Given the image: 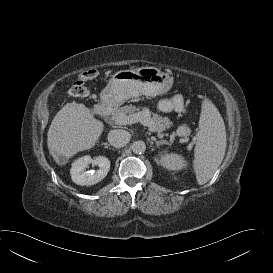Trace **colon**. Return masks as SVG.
Segmentation results:
<instances>
[{
	"label": "colon",
	"instance_id": "colon-1",
	"mask_svg": "<svg viewBox=\"0 0 273 273\" xmlns=\"http://www.w3.org/2000/svg\"><path fill=\"white\" fill-rule=\"evenodd\" d=\"M97 75L96 70H86L84 71L81 76L80 80L74 82L70 87L71 95L75 97H84L88 94V90L85 86V81L93 79Z\"/></svg>",
	"mask_w": 273,
	"mask_h": 273
}]
</instances>
